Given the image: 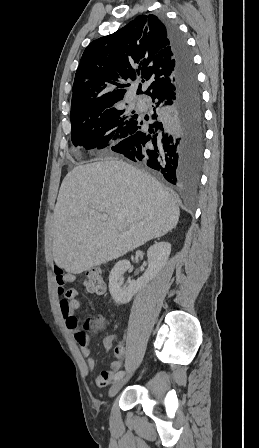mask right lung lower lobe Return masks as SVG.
<instances>
[{"instance_id": "right-lung-lower-lobe-1", "label": "right lung lower lobe", "mask_w": 259, "mask_h": 448, "mask_svg": "<svg viewBox=\"0 0 259 448\" xmlns=\"http://www.w3.org/2000/svg\"><path fill=\"white\" fill-rule=\"evenodd\" d=\"M174 61L173 87L156 96L151 121L143 117L111 147L132 161H142L174 186H195L203 162L204 113L192 53L178 28L164 19Z\"/></svg>"}]
</instances>
